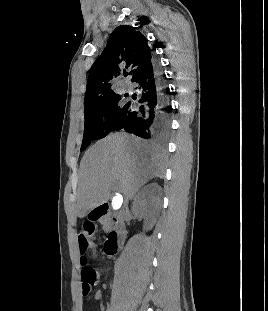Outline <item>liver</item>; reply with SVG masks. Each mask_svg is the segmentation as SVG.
<instances>
[{
    "label": "liver",
    "mask_w": 268,
    "mask_h": 311,
    "mask_svg": "<svg viewBox=\"0 0 268 311\" xmlns=\"http://www.w3.org/2000/svg\"><path fill=\"white\" fill-rule=\"evenodd\" d=\"M165 158L158 149L126 133L111 134L89 148L80 163L75 214L83 218L110 198L117 184L126 200L150 179L163 178Z\"/></svg>",
    "instance_id": "1"
}]
</instances>
